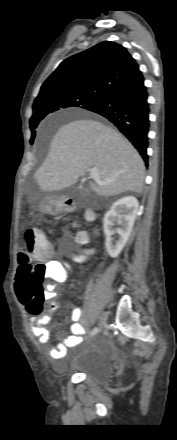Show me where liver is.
Returning <instances> with one entry per match:
<instances>
[{"instance_id": "1", "label": "liver", "mask_w": 177, "mask_h": 440, "mask_svg": "<svg viewBox=\"0 0 177 440\" xmlns=\"http://www.w3.org/2000/svg\"><path fill=\"white\" fill-rule=\"evenodd\" d=\"M92 168L98 170L103 182L90 183L99 196L142 192L145 166L139 153L119 132L91 119L59 128L35 180L43 192L60 191Z\"/></svg>"}]
</instances>
